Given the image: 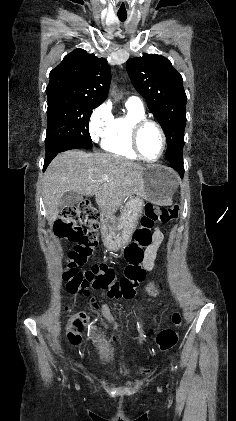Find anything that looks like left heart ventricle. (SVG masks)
Masks as SVG:
<instances>
[{
    "instance_id": "left-heart-ventricle-1",
    "label": "left heart ventricle",
    "mask_w": 236,
    "mask_h": 421,
    "mask_svg": "<svg viewBox=\"0 0 236 421\" xmlns=\"http://www.w3.org/2000/svg\"><path fill=\"white\" fill-rule=\"evenodd\" d=\"M139 146L145 157L154 160L162 149V140L158 130L152 125H145L139 135Z\"/></svg>"
}]
</instances>
